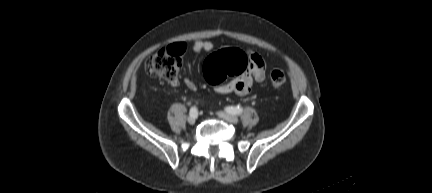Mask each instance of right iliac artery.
I'll use <instances>...</instances> for the list:
<instances>
[{
	"mask_svg": "<svg viewBox=\"0 0 432 193\" xmlns=\"http://www.w3.org/2000/svg\"><path fill=\"white\" fill-rule=\"evenodd\" d=\"M189 114H190V116H197V114H198L197 107L196 106H192L190 108Z\"/></svg>",
	"mask_w": 432,
	"mask_h": 193,
	"instance_id": "82829eb1",
	"label": "right iliac artery"
}]
</instances>
